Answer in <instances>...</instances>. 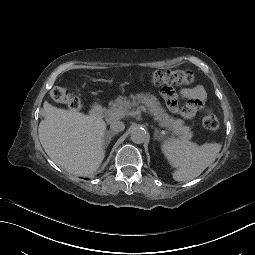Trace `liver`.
Returning <instances> with one entry per match:
<instances>
[{
    "mask_svg": "<svg viewBox=\"0 0 255 255\" xmlns=\"http://www.w3.org/2000/svg\"><path fill=\"white\" fill-rule=\"evenodd\" d=\"M40 143L49 158L74 175L96 172L105 158L107 124L102 118L43 103Z\"/></svg>",
    "mask_w": 255,
    "mask_h": 255,
    "instance_id": "6515ba94",
    "label": "liver"
}]
</instances>
